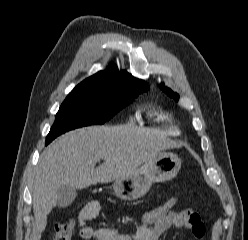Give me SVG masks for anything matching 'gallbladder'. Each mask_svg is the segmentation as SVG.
<instances>
[{"label": "gallbladder", "mask_w": 248, "mask_h": 240, "mask_svg": "<svg viewBox=\"0 0 248 240\" xmlns=\"http://www.w3.org/2000/svg\"><path fill=\"white\" fill-rule=\"evenodd\" d=\"M77 191L69 185H62L57 192V205L59 208L68 207L76 198Z\"/></svg>", "instance_id": "obj_1"}]
</instances>
